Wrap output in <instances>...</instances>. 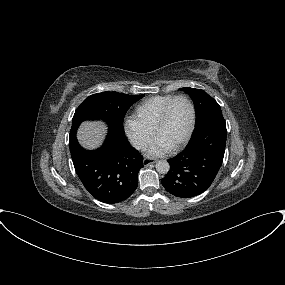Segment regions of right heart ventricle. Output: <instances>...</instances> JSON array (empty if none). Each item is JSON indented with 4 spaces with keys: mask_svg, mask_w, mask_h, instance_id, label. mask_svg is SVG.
I'll list each match as a JSON object with an SVG mask.
<instances>
[{
    "mask_svg": "<svg viewBox=\"0 0 285 285\" xmlns=\"http://www.w3.org/2000/svg\"><path fill=\"white\" fill-rule=\"evenodd\" d=\"M173 97L174 95H160L148 98L136 106L133 116L143 125L153 130L164 106Z\"/></svg>",
    "mask_w": 285,
    "mask_h": 285,
    "instance_id": "1",
    "label": "right heart ventricle"
}]
</instances>
